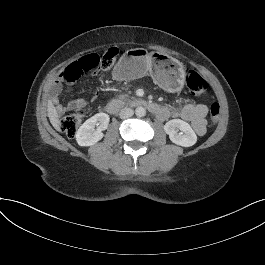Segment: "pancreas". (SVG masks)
<instances>
[{"label": "pancreas", "mask_w": 265, "mask_h": 265, "mask_svg": "<svg viewBox=\"0 0 265 265\" xmlns=\"http://www.w3.org/2000/svg\"><path fill=\"white\" fill-rule=\"evenodd\" d=\"M128 97L129 96L127 94H123V95H120L118 98L121 99V100H127Z\"/></svg>", "instance_id": "1"}]
</instances>
